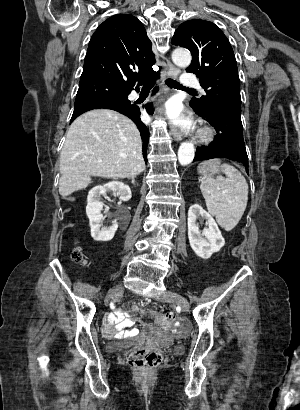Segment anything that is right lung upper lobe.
<instances>
[{
	"label": "right lung upper lobe",
	"instance_id": "obj_1",
	"mask_svg": "<svg viewBox=\"0 0 300 410\" xmlns=\"http://www.w3.org/2000/svg\"><path fill=\"white\" fill-rule=\"evenodd\" d=\"M155 56L143 24L132 15L117 14L93 34L80 82H102L132 91L146 79L159 77Z\"/></svg>",
	"mask_w": 300,
	"mask_h": 410
}]
</instances>
